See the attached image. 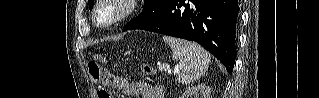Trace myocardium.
Returning a JSON list of instances; mask_svg holds the SVG:
<instances>
[{
  "instance_id": "f54148a6",
  "label": "myocardium",
  "mask_w": 319,
  "mask_h": 98,
  "mask_svg": "<svg viewBox=\"0 0 319 98\" xmlns=\"http://www.w3.org/2000/svg\"><path fill=\"white\" fill-rule=\"evenodd\" d=\"M140 1L137 0H100L97 1L93 11H92V20L94 24L100 28H111L116 26L123 21L127 20L131 17L138 8V3ZM106 5H116L120 7V13L113 18L111 21L107 23H100L98 20V12L99 10Z\"/></svg>"
}]
</instances>
